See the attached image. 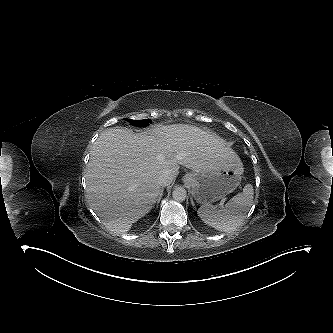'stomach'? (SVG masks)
<instances>
[{
	"instance_id": "stomach-1",
	"label": "stomach",
	"mask_w": 333,
	"mask_h": 333,
	"mask_svg": "<svg viewBox=\"0 0 333 333\" xmlns=\"http://www.w3.org/2000/svg\"><path fill=\"white\" fill-rule=\"evenodd\" d=\"M243 166L240 160L232 165L191 172L183 180L190 187L191 194L200 204H210L233 192L240 184Z\"/></svg>"
}]
</instances>
